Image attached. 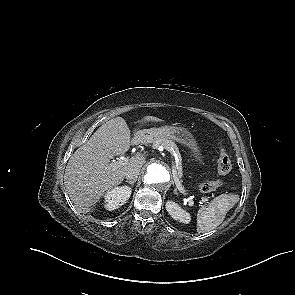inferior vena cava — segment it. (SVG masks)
Instances as JSON below:
<instances>
[{
  "label": "inferior vena cava",
  "instance_id": "1",
  "mask_svg": "<svg viewBox=\"0 0 295 295\" xmlns=\"http://www.w3.org/2000/svg\"><path fill=\"white\" fill-rule=\"evenodd\" d=\"M140 169L138 167H130L125 172V177L128 180H136L139 175Z\"/></svg>",
  "mask_w": 295,
  "mask_h": 295
}]
</instances>
